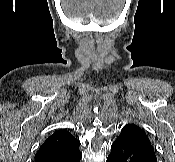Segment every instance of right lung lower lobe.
<instances>
[{"instance_id": "obj_1", "label": "right lung lower lobe", "mask_w": 175, "mask_h": 162, "mask_svg": "<svg viewBox=\"0 0 175 162\" xmlns=\"http://www.w3.org/2000/svg\"><path fill=\"white\" fill-rule=\"evenodd\" d=\"M82 154L79 150L75 152L56 153L36 158L35 162H79Z\"/></svg>"}]
</instances>
